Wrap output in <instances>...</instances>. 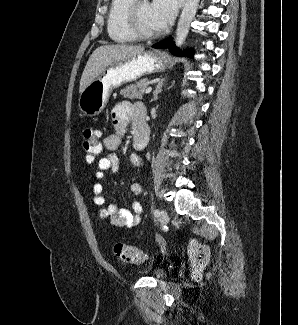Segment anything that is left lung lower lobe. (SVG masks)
<instances>
[{"label": "left lung lower lobe", "mask_w": 298, "mask_h": 325, "mask_svg": "<svg viewBox=\"0 0 298 325\" xmlns=\"http://www.w3.org/2000/svg\"><path fill=\"white\" fill-rule=\"evenodd\" d=\"M152 47L160 48V49H164V48L169 47V51L172 54L177 55V56H184L183 52L174 45L172 37H168V38L154 44ZM186 55L188 57L192 58L193 55H194V52L193 51L186 52Z\"/></svg>", "instance_id": "obj_1"}]
</instances>
